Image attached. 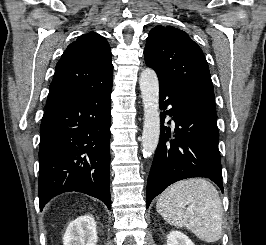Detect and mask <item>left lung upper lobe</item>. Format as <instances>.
<instances>
[{"mask_svg": "<svg viewBox=\"0 0 266 245\" xmlns=\"http://www.w3.org/2000/svg\"><path fill=\"white\" fill-rule=\"evenodd\" d=\"M144 57L159 83L216 112L208 63L201 48L184 31L154 27L148 34Z\"/></svg>", "mask_w": 266, "mask_h": 245, "instance_id": "5c2ea615", "label": "left lung upper lobe"}]
</instances>
